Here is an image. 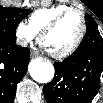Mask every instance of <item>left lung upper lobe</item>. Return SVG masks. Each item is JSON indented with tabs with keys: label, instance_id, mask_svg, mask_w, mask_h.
<instances>
[{
	"label": "left lung upper lobe",
	"instance_id": "obj_1",
	"mask_svg": "<svg viewBox=\"0 0 103 103\" xmlns=\"http://www.w3.org/2000/svg\"><path fill=\"white\" fill-rule=\"evenodd\" d=\"M97 26L96 22L90 15H86V27L87 29Z\"/></svg>",
	"mask_w": 103,
	"mask_h": 103
}]
</instances>
